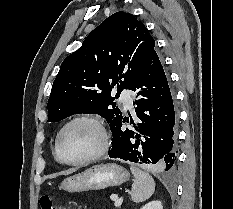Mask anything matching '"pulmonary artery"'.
<instances>
[{
    "label": "pulmonary artery",
    "instance_id": "1",
    "mask_svg": "<svg viewBox=\"0 0 233 209\" xmlns=\"http://www.w3.org/2000/svg\"><path fill=\"white\" fill-rule=\"evenodd\" d=\"M120 102L127 109L132 107V97L131 92L129 90H124L120 95Z\"/></svg>",
    "mask_w": 233,
    "mask_h": 209
}]
</instances>
